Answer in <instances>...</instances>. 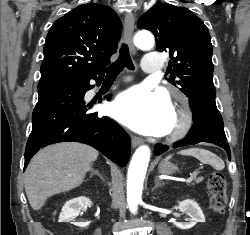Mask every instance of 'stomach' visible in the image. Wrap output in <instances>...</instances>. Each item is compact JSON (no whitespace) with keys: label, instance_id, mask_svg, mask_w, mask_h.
Wrapping results in <instances>:
<instances>
[{"label":"stomach","instance_id":"1","mask_svg":"<svg viewBox=\"0 0 250 235\" xmlns=\"http://www.w3.org/2000/svg\"><path fill=\"white\" fill-rule=\"evenodd\" d=\"M158 170L161 174L170 175V174H173L177 170V166L165 160L159 164Z\"/></svg>","mask_w":250,"mask_h":235}]
</instances>
